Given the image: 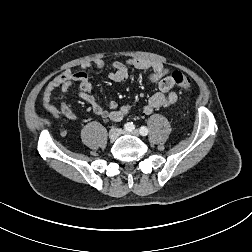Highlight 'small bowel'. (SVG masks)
I'll return each instance as SVG.
<instances>
[{
	"mask_svg": "<svg viewBox=\"0 0 252 252\" xmlns=\"http://www.w3.org/2000/svg\"><path fill=\"white\" fill-rule=\"evenodd\" d=\"M93 65L97 69H103L104 62L96 59ZM92 63L85 62L81 64V71L71 72L65 71L57 75L45 88L43 93V105L45 109L56 117H65L68 120L76 121L78 116L64 102H60L58 106L52 105L51 101L53 93L56 89H60L62 93L67 94L73 83L79 86L78 95L84 100L90 109L96 115L102 118H108L113 121H121L131 110V105L126 104L119 106L117 102H109L107 108H103L92 94L91 68ZM139 70L149 71V80L158 86V91L153 94L143 106V112L146 115L152 114L156 109L169 107L178 100V94L174 90V81L169 74V69L160 62L145 60L141 58H132L127 64L122 62H114L113 70L108 74V78L113 82H123L128 78V67Z\"/></svg>",
	"mask_w": 252,
	"mask_h": 252,
	"instance_id": "obj_1",
	"label": "small bowel"
}]
</instances>
